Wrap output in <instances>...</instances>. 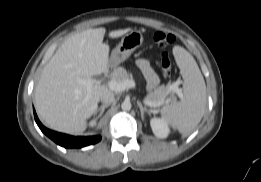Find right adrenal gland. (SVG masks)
I'll use <instances>...</instances> for the list:
<instances>
[{"mask_svg": "<svg viewBox=\"0 0 261 182\" xmlns=\"http://www.w3.org/2000/svg\"><path fill=\"white\" fill-rule=\"evenodd\" d=\"M108 106H109V105H106V104L101 105L100 107H98V108L96 109L95 114H97V113L100 111L98 117L102 116V114L104 113L105 109H106Z\"/></svg>", "mask_w": 261, "mask_h": 182, "instance_id": "obj_1", "label": "right adrenal gland"}]
</instances>
